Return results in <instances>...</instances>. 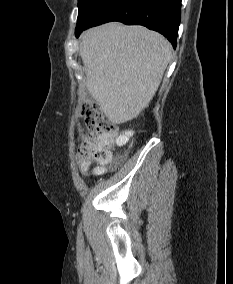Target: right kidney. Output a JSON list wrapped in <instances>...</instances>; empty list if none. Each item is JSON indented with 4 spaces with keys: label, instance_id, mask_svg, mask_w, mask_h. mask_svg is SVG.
Masks as SVG:
<instances>
[{
    "label": "right kidney",
    "instance_id": "obj_1",
    "mask_svg": "<svg viewBox=\"0 0 233 284\" xmlns=\"http://www.w3.org/2000/svg\"><path fill=\"white\" fill-rule=\"evenodd\" d=\"M133 135L132 131H125L123 134L116 139V143L119 146L126 144L129 141V138Z\"/></svg>",
    "mask_w": 233,
    "mask_h": 284
}]
</instances>
